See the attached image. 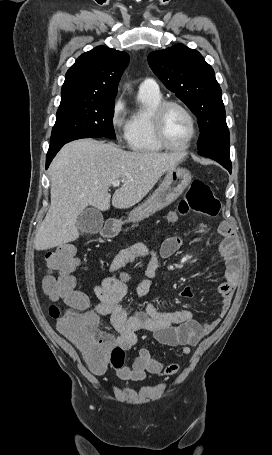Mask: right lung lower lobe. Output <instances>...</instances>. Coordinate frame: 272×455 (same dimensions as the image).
<instances>
[{
    "label": "right lung lower lobe",
    "mask_w": 272,
    "mask_h": 455,
    "mask_svg": "<svg viewBox=\"0 0 272 455\" xmlns=\"http://www.w3.org/2000/svg\"><path fill=\"white\" fill-rule=\"evenodd\" d=\"M63 145L64 144L49 148L48 153H47V158H46V168H48L50 162L52 161L54 156L57 154V152L61 149V147Z\"/></svg>",
    "instance_id": "right-lung-lower-lobe-1"
}]
</instances>
